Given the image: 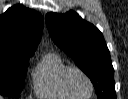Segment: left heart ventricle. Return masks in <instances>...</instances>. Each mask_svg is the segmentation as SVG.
I'll use <instances>...</instances> for the list:
<instances>
[{
	"mask_svg": "<svg viewBox=\"0 0 128 99\" xmlns=\"http://www.w3.org/2000/svg\"><path fill=\"white\" fill-rule=\"evenodd\" d=\"M69 85L73 93L79 97H86L90 93V86L87 80L78 72H73L70 75Z\"/></svg>",
	"mask_w": 128,
	"mask_h": 99,
	"instance_id": "b2bd125f",
	"label": "left heart ventricle"
}]
</instances>
